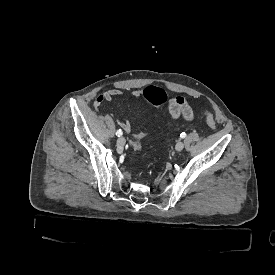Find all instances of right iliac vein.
<instances>
[{"mask_svg": "<svg viewBox=\"0 0 275 275\" xmlns=\"http://www.w3.org/2000/svg\"><path fill=\"white\" fill-rule=\"evenodd\" d=\"M126 143V140L124 137H119L118 140H117V145L118 147H123Z\"/></svg>", "mask_w": 275, "mask_h": 275, "instance_id": "right-iliac-vein-1", "label": "right iliac vein"}]
</instances>
